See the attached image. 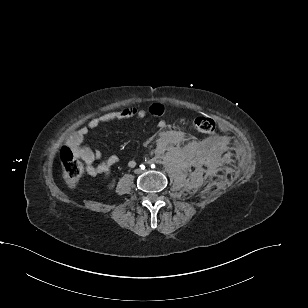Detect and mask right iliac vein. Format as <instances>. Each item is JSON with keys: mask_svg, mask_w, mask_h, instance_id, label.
<instances>
[{"mask_svg": "<svg viewBox=\"0 0 308 308\" xmlns=\"http://www.w3.org/2000/svg\"><path fill=\"white\" fill-rule=\"evenodd\" d=\"M135 174H140V173H142V170L140 169V168H137V169H135Z\"/></svg>", "mask_w": 308, "mask_h": 308, "instance_id": "obj_1", "label": "right iliac vein"}]
</instances>
